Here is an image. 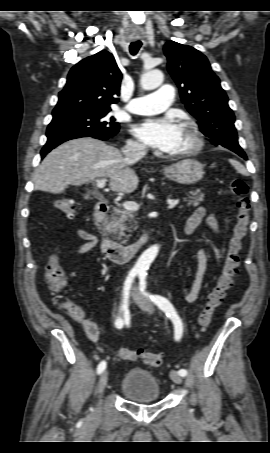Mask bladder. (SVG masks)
<instances>
[{
    "mask_svg": "<svg viewBox=\"0 0 270 453\" xmlns=\"http://www.w3.org/2000/svg\"><path fill=\"white\" fill-rule=\"evenodd\" d=\"M120 391L128 400L137 403L156 402L161 397L158 380L151 372L141 368H132L124 374Z\"/></svg>",
    "mask_w": 270,
    "mask_h": 453,
    "instance_id": "obj_1",
    "label": "bladder"
}]
</instances>
